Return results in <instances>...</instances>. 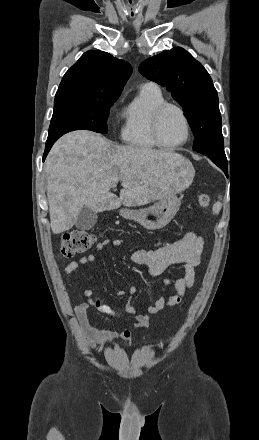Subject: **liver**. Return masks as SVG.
Returning <instances> with one entry per match:
<instances>
[{
	"instance_id": "obj_1",
	"label": "liver",
	"mask_w": 259,
	"mask_h": 440,
	"mask_svg": "<svg viewBox=\"0 0 259 440\" xmlns=\"http://www.w3.org/2000/svg\"><path fill=\"white\" fill-rule=\"evenodd\" d=\"M50 225L54 234L71 229L84 206L94 212L141 206L175 195L192 181L194 168L171 151L121 146L79 130L62 136L44 167ZM128 186L119 197L118 182Z\"/></svg>"
}]
</instances>
